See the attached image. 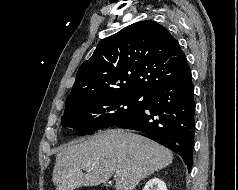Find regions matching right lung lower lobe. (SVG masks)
<instances>
[{"label": "right lung lower lobe", "instance_id": "obj_1", "mask_svg": "<svg viewBox=\"0 0 238 190\" xmlns=\"http://www.w3.org/2000/svg\"><path fill=\"white\" fill-rule=\"evenodd\" d=\"M194 86L189 66L147 96L143 108L116 124L145 132L179 154L191 171L195 132Z\"/></svg>", "mask_w": 238, "mask_h": 190}]
</instances>
